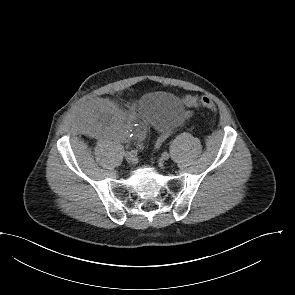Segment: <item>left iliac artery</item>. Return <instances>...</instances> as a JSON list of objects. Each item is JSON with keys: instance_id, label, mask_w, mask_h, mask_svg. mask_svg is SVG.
<instances>
[{"instance_id": "left-iliac-artery-1", "label": "left iliac artery", "mask_w": 295, "mask_h": 295, "mask_svg": "<svg viewBox=\"0 0 295 295\" xmlns=\"http://www.w3.org/2000/svg\"><path fill=\"white\" fill-rule=\"evenodd\" d=\"M166 154H167V152H164V153L162 154V156L164 157Z\"/></svg>"}]
</instances>
